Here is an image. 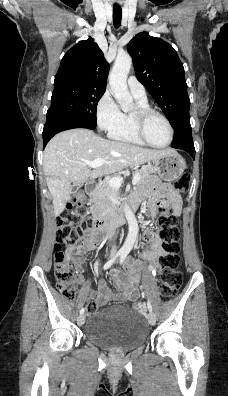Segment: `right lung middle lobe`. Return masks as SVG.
<instances>
[{"instance_id":"dd1d6c3e","label":"right lung middle lobe","mask_w":228,"mask_h":396,"mask_svg":"<svg viewBox=\"0 0 228 396\" xmlns=\"http://www.w3.org/2000/svg\"><path fill=\"white\" fill-rule=\"evenodd\" d=\"M104 92V89L78 85L54 86L51 106L47 113H65L96 127L97 103Z\"/></svg>"}]
</instances>
